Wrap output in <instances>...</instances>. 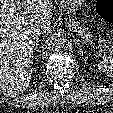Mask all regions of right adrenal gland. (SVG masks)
Segmentation results:
<instances>
[{"label":"right adrenal gland","mask_w":113,"mask_h":113,"mask_svg":"<svg viewBox=\"0 0 113 113\" xmlns=\"http://www.w3.org/2000/svg\"><path fill=\"white\" fill-rule=\"evenodd\" d=\"M38 43H39V38L37 37L36 38V46H35V49H37Z\"/></svg>","instance_id":"1"}]
</instances>
